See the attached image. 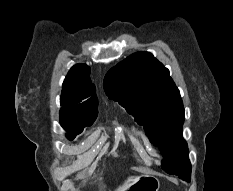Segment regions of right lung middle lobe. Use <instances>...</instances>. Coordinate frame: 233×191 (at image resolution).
<instances>
[{"label": "right lung middle lobe", "mask_w": 233, "mask_h": 191, "mask_svg": "<svg viewBox=\"0 0 233 191\" xmlns=\"http://www.w3.org/2000/svg\"><path fill=\"white\" fill-rule=\"evenodd\" d=\"M97 114L88 116H71L60 113L61 126L69 132L67 138L73 140L77 134L83 131V128L91 125L96 119Z\"/></svg>", "instance_id": "1"}]
</instances>
